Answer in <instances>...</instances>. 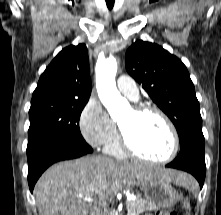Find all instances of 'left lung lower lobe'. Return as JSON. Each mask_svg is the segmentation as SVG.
<instances>
[{"instance_id": "1", "label": "left lung lower lobe", "mask_w": 221, "mask_h": 215, "mask_svg": "<svg viewBox=\"0 0 221 215\" xmlns=\"http://www.w3.org/2000/svg\"><path fill=\"white\" fill-rule=\"evenodd\" d=\"M166 167L183 170L191 173L203 187L206 165H205V140L193 139L183 147H180L179 155Z\"/></svg>"}]
</instances>
